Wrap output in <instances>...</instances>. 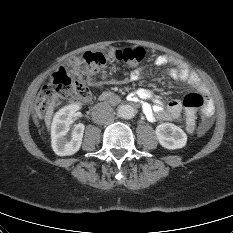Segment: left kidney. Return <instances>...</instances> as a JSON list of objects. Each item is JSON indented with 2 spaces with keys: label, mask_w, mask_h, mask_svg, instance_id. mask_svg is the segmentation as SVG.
Instances as JSON below:
<instances>
[{
  "label": "left kidney",
  "mask_w": 233,
  "mask_h": 233,
  "mask_svg": "<svg viewBox=\"0 0 233 233\" xmlns=\"http://www.w3.org/2000/svg\"><path fill=\"white\" fill-rule=\"evenodd\" d=\"M160 145L169 150L183 148L187 143L186 133L172 123H162L155 130Z\"/></svg>",
  "instance_id": "left-kidney-1"
}]
</instances>
